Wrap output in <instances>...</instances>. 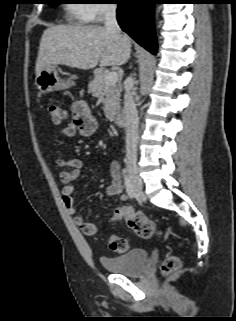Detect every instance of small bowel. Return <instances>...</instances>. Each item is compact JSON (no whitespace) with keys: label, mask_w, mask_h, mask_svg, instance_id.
<instances>
[{"label":"small bowel","mask_w":236,"mask_h":321,"mask_svg":"<svg viewBox=\"0 0 236 321\" xmlns=\"http://www.w3.org/2000/svg\"><path fill=\"white\" fill-rule=\"evenodd\" d=\"M72 119L68 121L59 131L58 137L71 138L76 135L81 137L92 136L97 128L98 121L91 113L88 103L85 100L79 99L72 103ZM56 163L61 168L59 173L62 187V200L67 212L74 216V223L81 230L88 234H94L95 225L87 221L86 218L77 214V206L75 202V186L73 182L80 176L82 170V161L80 159L65 160L61 157L56 159ZM110 172L112 183L107 188L109 197H118L121 200L126 199L123 193L120 166L116 160H112L110 164Z\"/></svg>","instance_id":"c3829d8e"}]
</instances>
